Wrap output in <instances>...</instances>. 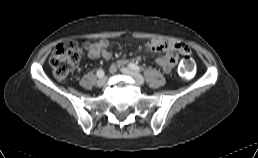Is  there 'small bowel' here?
<instances>
[{"label":"small bowel","mask_w":258,"mask_h":158,"mask_svg":"<svg viewBox=\"0 0 258 158\" xmlns=\"http://www.w3.org/2000/svg\"><path fill=\"white\" fill-rule=\"evenodd\" d=\"M108 47V40H101L97 43L91 44L88 49L89 58L93 60L99 58L105 60L110 59L111 52L108 50ZM145 48L151 53H161V55L156 58V63L166 73H169L178 64L181 55L189 53V48L185 43L175 40H152L146 44ZM140 60L141 57L137 56L132 61L138 62ZM126 63H128V60H120L113 63L110 66V70L114 72L118 66Z\"/></svg>","instance_id":"1"}]
</instances>
